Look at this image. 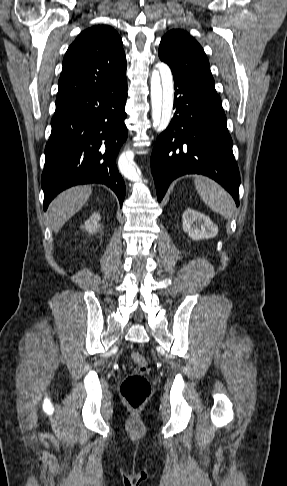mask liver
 <instances>
[{"instance_id":"obj_1","label":"liver","mask_w":287,"mask_h":486,"mask_svg":"<svg viewBox=\"0 0 287 486\" xmlns=\"http://www.w3.org/2000/svg\"><path fill=\"white\" fill-rule=\"evenodd\" d=\"M92 193L89 185L72 187L60 193L50 204L48 218L52 229L58 233L63 225L87 202Z\"/></svg>"}]
</instances>
